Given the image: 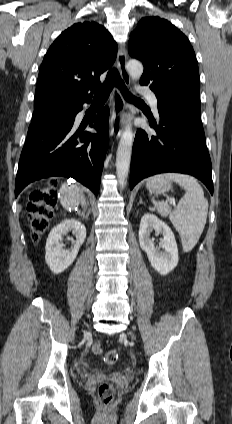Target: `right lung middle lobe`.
I'll return each mask as SVG.
<instances>
[{
	"instance_id": "dd1d6c3e",
	"label": "right lung middle lobe",
	"mask_w": 232,
	"mask_h": 424,
	"mask_svg": "<svg viewBox=\"0 0 232 424\" xmlns=\"http://www.w3.org/2000/svg\"><path fill=\"white\" fill-rule=\"evenodd\" d=\"M44 108H45V107H42V108H36V109H35V111H34V113H33V118H32V119H36V118L38 117L37 113H38L40 110L44 109Z\"/></svg>"
}]
</instances>
